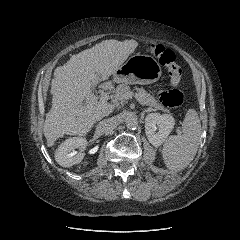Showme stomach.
Returning a JSON list of instances; mask_svg holds the SVG:
<instances>
[{
    "label": "stomach",
    "mask_w": 240,
    "mask_h": 240,
    "mask_svg": "<svg viewBox=\"0 0 240 240\" xmlns=\"http://www.w3.org/2000/svg\"><path fill=\"white\" fill-rule=\"evenodd\" d=\"M161 66L149 55L134 54L113 72L116 82L127 84H151L161 77Z\"/></svg>",
    "instance_id": "0dacf381"
}]
</instances>
